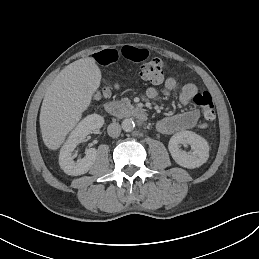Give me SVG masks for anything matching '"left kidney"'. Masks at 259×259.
Masks as SVG:
<instances>
[{
  "instance_id": "1",
  "label": "left kidney",
  "mask_w": 259,
  "mask_h": 259,
  "mask_svg": "<svg viewBox=\"0 0 259 259\" xmlns=\"http://www.w3.org/2000/svg\"><path fill=\"white\" fill-rule=\"evenodd\" d=\"M180 144L190 145L192 152L187 153L180 149ZM168 149L177 164L189 169L200 167L209 158L207 141L192 131H181L174 134L169 141Z\"/></svg>"
}]
</instances>
